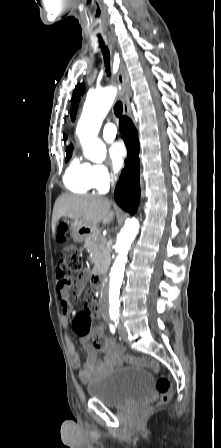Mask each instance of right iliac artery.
<instances>
[{"label": "right iliac artery", "mask_w": 221, "mask_h": 448, "mask_svg": "<svg viewBox=\"0 0 221 448\" xmlns=\"http://www.w3.org/2000/svg\"><path fill=\"white\" fill-rule=\"evenodd\" d=\"M116 318H117L116 316H112V317H111V319H112L113 321H115V322H113V324L111 325V328H112V329L114 328V325L117 326Z\"/></svg>", "instance_id": "obj_1"}]
</instances>
